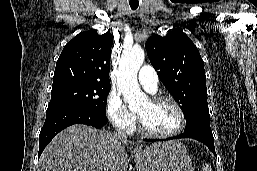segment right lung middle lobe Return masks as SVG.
<instances>
[{
    "label": "right lung middle lobe",
    "instance_id": "dd1d6c3e",
    "mask_svg": "<svg viewBox=\"0 0 257 171\" xmlns=\"http://www.w3.org/2000/svg\"><path fill=\"white\" fill-rule=\"evenodd\" d=\"M110 84L76 83L52 89L48 108L62 105H78L106 116L107 95Z\"/></svg>",
    "mask_w": 257,
    "mask_h": 171
}]
</instances>
